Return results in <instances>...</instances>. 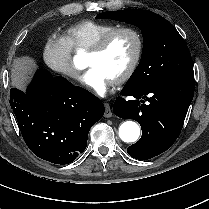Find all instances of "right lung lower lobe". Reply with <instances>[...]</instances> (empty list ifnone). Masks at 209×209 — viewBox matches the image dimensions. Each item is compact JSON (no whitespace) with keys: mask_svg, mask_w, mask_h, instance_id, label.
Returning <instances> with one entry per match:
<instances>
[{"mask_svg":"<svg viewBox=\"0 0 209 209\" xmlns=\"http://www.w3.org/2000/svg\"><path fill=\"white\" fill-rule=\"evenodd\" d=\"M10 106L33 153L55 164H69L87 145L88 132L104 115L89 91L39 69L26 92L10 90Z\"/></svg>","mask_w":209,"mask_h":209,"instance_id":"1","label":"right lung lower lobe"}]
</instances>
